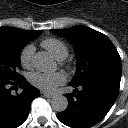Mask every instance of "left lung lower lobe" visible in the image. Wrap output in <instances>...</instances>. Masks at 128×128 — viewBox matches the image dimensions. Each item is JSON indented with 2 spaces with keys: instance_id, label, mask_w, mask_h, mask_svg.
<instances>
[{
  "instance_id": "obj_1",
  "label": "left lung lower lobe",
  "mask_w": 128,
  "mask_h": 128,
  "mask_svg": "<svg viewBox=\"0 0 128 128\" xmlns=\"http://www.w3.org/2000/svg\"><path fill=\"white\" fill-rule=\"evenodd\" d=\"M120 80L119 72L99 71L80 83H70L75 88L74 92L65 95L68 107L58 113L57 118L71 128H90L96 125L114 104Z\"/></svg>"
}]
</instances>
